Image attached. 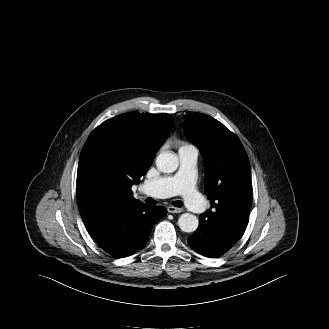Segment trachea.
<instances>
[{
    "label": "trachea",
    "instance_id": "obj_1",
    "mask_svg": "<svg viewBox=\"0 0 329 329\" xmlns=\"http://www.w3.org/2000/svg\"><path fill=\"white\" fill-rule=\"evenodd\" d=\"M145 202L150 203V204H156L155 200L151 197H148ZM172 205H174L175 207H182L183 203L181 201H173Z\"/></svg>",
    "mask_w": 329,
    "mask_h": 329
}]
</instances>
